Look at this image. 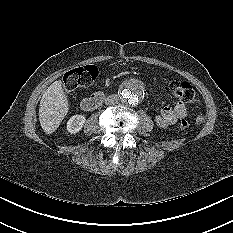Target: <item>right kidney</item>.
Instances as JSON below:
<instances>
[{
	"instance_id": "obj_1",
	"label": "right kidney",
	"mask_w": 233,
	"mask_h": 233,
	"mask_svg": "<svg viewBox=\"0 0 233 233\" xmlns=\"http://www.w3.org/2000/svg\"><path fill=\"white\" fill-rule=\"evenodd\" d=\"M85 121L86 118L84 115L78 114L72 116L67 122V131L70 134L78 133L82 129Z\"/></svg>"
}]
</instances>
